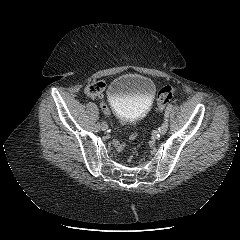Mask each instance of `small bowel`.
I'll list each match as a JSON object with an SVG mask.
<instances>
[{
	"instance_id": "small-bowel-1",
	"label": "small bowel",
	"mask_w": 240,
	"mask_h": 240,
	"mask_svg": "<svg viewBox=\"0 0 240 240\" xmlns=\"http://www.w3.org/2000/svg\"><path fill=\"white\" fill-rule=\"evenodd\" d=\"M98 99L99 100H104L105 99V97H106V95H105V93H103V92H101V93H99L98 94ZM99 108L101 109V112H102V117L103 118H110L111 117V112L109 111V108H108V106L106 105V103L105 102H100L99 103ZM138 138H139V133H138V131H136V130H133V131H131V133H130V135H129V139L130 140H132V141H136V140H138ZM114 146L116 147V149L118 150V151H123L124 149H125V147H126V142L125 141H115L114 142Z\"/></svg>"
}]
</instances>
